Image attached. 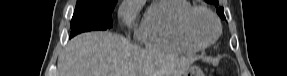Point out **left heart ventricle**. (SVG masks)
Instances as JSON below:
<instances>
[{
    "instance_id": "b2bd125f",
    "label": "left heart ventricle",
    "mask_w": 287,
    "mask_h": 76,
    "mask_svg": "<svg viewBox=\"0 0 287 76\" xmlns=\"http://www.w3.org/2000/svg\"><path fill=\"white\" fill-rule=\"evenodd\" d=\"M191 30L194 36L202 41H210L216 33L213 21L204 13H197L192 19Z\"/></svg>"
}]
</instances>
